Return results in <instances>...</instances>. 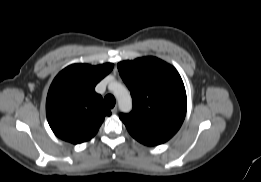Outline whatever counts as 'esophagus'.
<instances>
[{"mask_svg": "<svg viewBox=\"0 0 261 182\" xmlns=\"http://www.w3.org/2000/svg\"><path fill=\"white\" fill-rule=\"evenodd\" d=\"M112 114H116L118 112V108L117 106H115L112 110H111Z\"/></svg>", "mask_w": 261, "mask_h": 182, "instance_id": "1", "label": "esophagus"}]
</instances>
